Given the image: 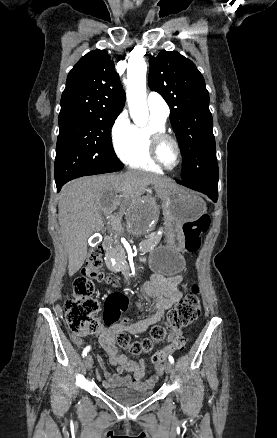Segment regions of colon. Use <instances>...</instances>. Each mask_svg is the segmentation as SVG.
<instances>
[{"mask_svg":"<svg viewBox=\"0 0 277 438\" xmlns=\"http://www.w3.org/2000/svg\"><path fill=\"white\" fill-rule=\"evenodd\" d=\"M210 226L208 215H201L194 222L184 223L182 226L185 237V247L190 252L199 249L202 236ZM104 252L101 246L92 248L82 276L78 277L73 286V291L68 295L64 306L65 318L73 330L84 331L92 334L103 332L102 320L99 310V303L92 296L95 291L94 283H117L112 276H108L102 270ZM201 304L195 294H189L167 313L166 320L155 326L150 336L143 340L131 341L128 333L121 332L116 335V343L123 350L132 354L148 352L154 346L162 342L168 333L179 330L192 323L200 314ZM186 344V337L176 334L173 338V345L176 348H183ZM165 354L155 353L152 357L153 363H161Z\"/></svg>","mask_w":277,"mask_h":438,"instance_id":"5ec220e1","label":"colon"}]
</instances>
